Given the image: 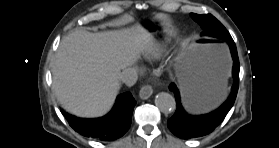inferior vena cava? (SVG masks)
<instances>
[{
  "label": "inferior vena cava",
  "mask_w": 279,
  "mask_h": 148,
  "mask_svg": "<svg viewBox=\"0 0 279 148\" xmlns=\"http://www.w3.org/2000/svg\"><path fill=\"white\" fill-rule=\"evenodd\" d=\"M118 79L127 86L131 87L137 82L138 76L134 69L129 68L120 72Z\"/></svg>",
  "instance_id": "inferior-vena-cava-1"
}]
</instances>
